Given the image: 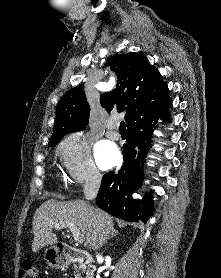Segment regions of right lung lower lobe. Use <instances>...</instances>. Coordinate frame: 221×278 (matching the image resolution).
<instances>
[{
  "instance_id": "right-lung-lower-lobe-1",
  "label": "right lung lower lobe",
  "mask_w": 221,
  "mask_h": 278,
  "mask_svg": "<svg viewBox=\"0 0 221 278\" xmlns=\"http://www.w3.org/2000/svg\"><path fill=\"white\" fill-rule=\"evenodd\" d=\"M169 104L159 113L128 127L127 143L123 146L124 163L118 173H106L96 198L98 207L123 220L146 223L152 215V195L142 200L131 198L142 184L144 159L151 146V135L158 118L169 120Z\"/></svg>"
}]
</instances>
